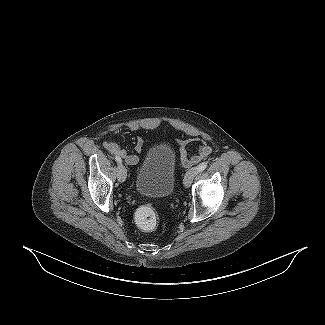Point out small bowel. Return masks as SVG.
<instances>
[{
    "instance_id": "1",
    "label": "small bowel",
    "mask_w": 325,
    "mask_h": 325,
    "mask_svg": "<svg viewBox=\"0 0 325 325\" xmlns=\"http://www.w3.org/2000/svg\"><path fill=\"white\" fill-rule=\"evenodd\" d=\"M192 140H198V138H194ZM145 139L139 137L136 141L135 150L137 153H141L143 150ZM187 141H180V152L181 158L185 166L189 167L194 164H197L202 159L208 157L211 153V148L208 145H202L198 151V153L194 156H188L185 146ZM104 148L111 154L121 156L128 165H136L139 162V157L136 154H128L125 150L116 142L112 140H106L103 143Z\"/></svg>"
}]
</instances>
